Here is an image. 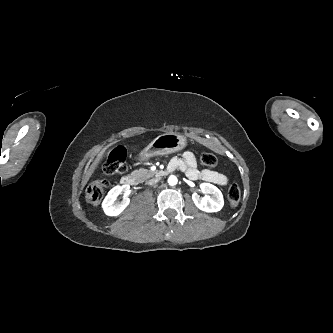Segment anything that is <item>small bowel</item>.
Masks as SVG:
<instances>
[{"instance_id":"obj_1","label":"small bowel","mask_w":333,"mask_h":333,"mask_svg":"<svg viewBox=\"0 0 333 333\" xmlns=\"http://www.w3.org/2000/svg\"><path fill=\"white\" fill-rule=\"evenodd\" d=\"M175 169L185 172L187 177L192 180H199L211 184L225 186L228 183V177L222 173L209 169L199 170L195 155L191 151H185L182 157H175L169 163Z\"/></svg>"}]
</instances>
